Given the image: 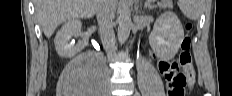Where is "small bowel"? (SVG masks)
Returning <instances> with one entry per match:
<instances>
[{
  "label": "small bowel",
  "mask_w": 232,
  "mask_h": 96,
  "mask_svg": "<svg viewBox=\"0 0 232 96\" xmlns=\"http://www.w3.org/2000/svg\"><path fill=\"white\" fill-rule=\"evenodd\" d=\"M158 68L160 70V72L162 73V68H171L172 64L171 63H158ZM185 74L187 75L188 79H189V84H193L194 82V70L192 68V66L188 67L185 69Z\"/></svg>",
  "instance_id": "1"
}]
</instances>
